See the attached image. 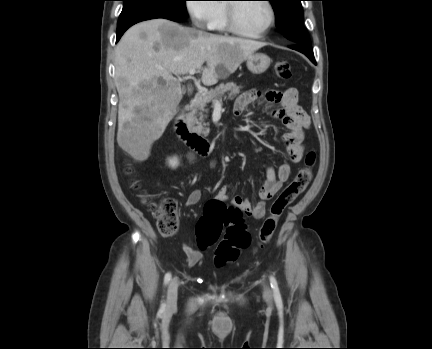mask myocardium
Wrapping results in <instances>:
<instances>
[{"label":"myocardium","instance_id":"myocardium-1","mask_svg":"<svg viewBox=\"0 0 432 349\" xmlns=\"http://www.w3.org/2000/svg\"><path fill=\"white\" fill-rule=\"evenodd\" d=\"M235 1H239V0H235ZM262 2H264L267 5V7L269 8V12H270L269 22H268L267 26L262 31L252 33V32L244 31L239 27V25L237 23V18H236V7L240 4V2H228L226 4L227 29L230 32H232L236 35L242 36V37L254 38V39L265 37L270 32V30L273 28V26L275 25L276 10H275V7H274L272 1L262 0Z\"/></svg>","mask_w":432,"mask_h":349}]
</instances>
